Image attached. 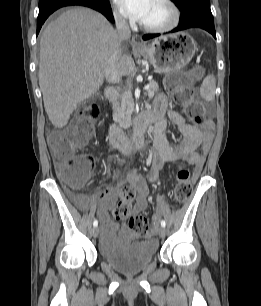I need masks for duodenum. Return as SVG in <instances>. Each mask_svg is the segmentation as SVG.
<instances>
[{
  "label": "duodenum",
  "instance_id": "410a0bca",
  "mask_svg": "<svg viewBox=\"0 0 261 306\" xmlns=\"http://www.w3.org/2000/svg\"><path fill=\"white\" fill-rule=\"evenodd\" d=\"M109 101L117 98V92L111 88L106 92ZM155 118L152 113H143L138 115L132 123L133 137L132 139L123 132V130L115 124H111L109 128V138L111 144L123 153H129L139 148L145 139L148 126L153 124Z\"/></svg>",
  "mask_w": 261,
  "mask_h": 306
}]
</instances>
